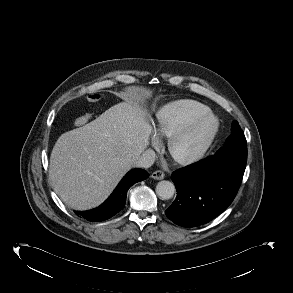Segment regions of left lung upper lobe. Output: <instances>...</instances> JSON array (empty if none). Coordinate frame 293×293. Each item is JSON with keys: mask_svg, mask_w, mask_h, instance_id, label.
Listing matches in <instances>:
<instances>
[{"mask_svg": "<svg viewBox=\"0 0 293 293\" xmlns=\"http://www.w3.org/2000/svg\"><path fill=\"white\" fill-rule=\"evenodd\" d=\"M231 132L232 134L228 138L226 146L223 147L224 149L232 151L247 145L244 133L241 130L237 121H233L231 126Z\"/></svg>", "mask_w": 293, "mask_h": 293, "instance_id": "5c2ea615", "label": "left lung upper lobe"}]
</instances>
